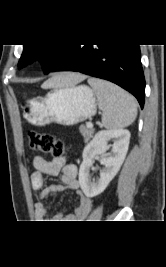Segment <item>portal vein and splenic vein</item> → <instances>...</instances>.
Returning a JSON list of instances; mask_svg holds the SVG:
<instances>
[{
    "label": "portal vein and splenic vein",
    "mask_w": 166,
    "mask_h": 267,
    "mask_svg": "<svg viewBox=\"0 0 166 267\" xmlns=\"http://www.w3.org/2000/svg\"><path fill=\"white\" fill-rule=\"evenodd\" d=\"M86 126H87L88 128H92V127H93V124H92L91 122H88V123L86 124Z\"/></svg>",
    "instance_id": "portal-vein-and-splenic-vein-1"
}]
</instances>
